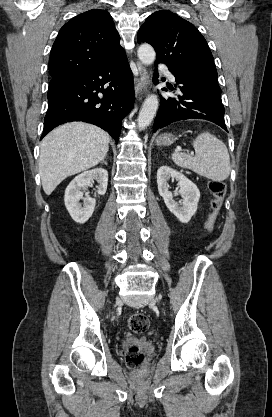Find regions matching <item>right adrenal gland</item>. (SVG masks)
<instances>
[{"label": "right adrenal gland", "mask_w": 272, "mask_h": 417, "mask_svg": "<svg viewBox=\"0 0 272 417\" xmlns=\"http://www.w3.org/2000/svg\"><path fill=\"white\" fill-rule=\"evenodd\" d=\"M100 163H104L105 165H107V162L105 161V159H103Z\"/></svg>", "instance_id": "1"}]
</instances>
